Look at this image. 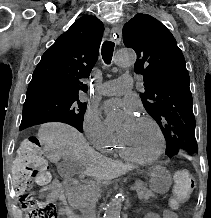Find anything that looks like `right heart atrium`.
<instances>
[{
  "label": "right heart atrium",
  "mask_w": 211,
  "mask_h": 218,
  "mask_svg": "<svg viewBox=\"0 0 211 218\" xmlns=\"http://www.w3.org/2000/svg\"><path fill=\"white\" fill-rule=\"evenodd\" d=\"M82 125L91 144L97 149L106 146L115 139L114 134L104 125L94 110H86Z\"/></svg>",
  "instance_id": "1"
}]
</instances>
